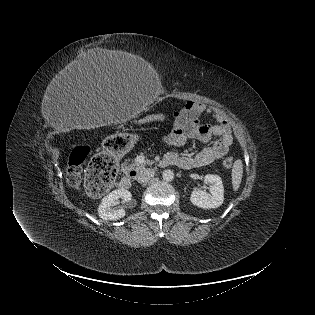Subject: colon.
Segmentation results:
<instances>
[{"instance_id": "obj_1", "label": "colon", "mask_w": 315, "mask_h": 315, "mask_svg": "<svg viewBox=\"0 0 315 315\" xmlns=\"http://www.w3.org/2000/svg\"><path fill=\"white\" fill-rule=\"evenodd\" d=\"M162 119L160 115H152L141 123L148 124ZM90 150L87 146L75 147L69 157L67 166V180L70 185L77 187L81 182L82 165L88 157ZM234 160L231 157L223 161L226 168L233 166ZM117 174V164L114 158L106 154L95 156L85 173L84 184L86 190L95 196L105 194L113 184Z\"/></svg>"}]
</instances>
